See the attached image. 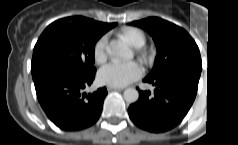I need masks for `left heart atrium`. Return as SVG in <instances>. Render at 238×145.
<instances>
[{
	"label": "left heart atrium",
	"instance_id": "left-heart-atrium-1",
	"mask_svg": "<svg viewBox=\"0 0 238 145\" xmlns=\"http://www.w3.org/2000/svg\"><path fill=\"white\" fill-rule=\"evenodd\" d=\"M139 75L140 69L134 62L113 61L99 70L98 79L104 85L123 87Z\"/></svg>",
	"mask_w": 238,
	"mask_h": 145
}]
</instances>
